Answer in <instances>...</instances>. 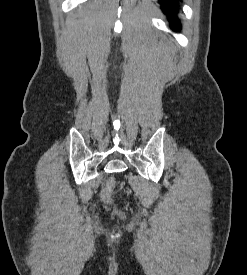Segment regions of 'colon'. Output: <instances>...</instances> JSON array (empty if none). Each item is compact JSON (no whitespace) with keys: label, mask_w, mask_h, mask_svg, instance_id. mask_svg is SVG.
<instances>
[{"label":"colon","mask_w":247,"mask_h":275,"mask_svg":"<svg viewBox=\"0 0 247 275\" xmlns=\"http://www.w3.org/2000/svg\"><path fill=\"white\" fill-rule=\"evenodd\" d=\"M114 186H115V180L113 178H110L102 191V199L109 206H113L111 195H112ZM115 212L120 218L124 217V214L121 211L115 210Z\"/></svg>","instance_id":"1"}]
</instances>
